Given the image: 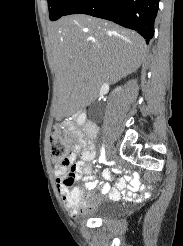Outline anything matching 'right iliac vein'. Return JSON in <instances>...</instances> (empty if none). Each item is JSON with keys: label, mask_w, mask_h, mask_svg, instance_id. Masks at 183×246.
I'll return each instance as SVG.
<instances>
[{"label": "right iliac vein", "mask_w": 183, "mask_h": 246, "mask_svg": "<svg viewBox=\"0 0 183 246\" xmlns=\"http://www.w3.org/2000/svg\"><path fill=\"white\" fill-rule=\"evenodd\" d=\"M107 157H108V159L111 157V153L110 152L107 153Z\"/></svg>", "instance_id": "63e3f726"}]
</instances>
